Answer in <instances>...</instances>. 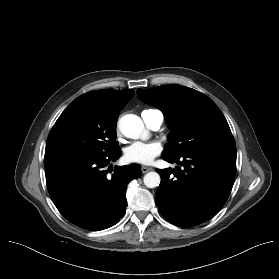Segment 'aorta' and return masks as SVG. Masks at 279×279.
<instances>
[{
	"label": "aorta",
	"instance_id": "1",
	"mask_svg": "<svg viewBox=\"0 0 279 279\" xmlns=\"http://www.w3.org/2000/svg\"><path fill=\"white\" fill-rule=\"evenodd\" d=\"M120 132L131 139H139L147 135L143 121L135 114H126L118 122ZM160 175L157 172H149L143 177V182L148 188H155L160 184Z\"/></svg>",
	"mask_w": 279,
	"mask_h": 279
}]
</instances>
